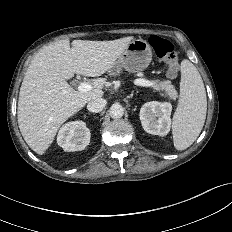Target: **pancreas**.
Masks as SVG:
<instances>
[{
  "instance_id": "pancreas-1",
  "label": "pancreas",
  "mask_w": 232,
  "mask_h": 232,
  "mask_svg": "<svg viewBox=\"0 0 232 232\" xmlns=\"http://www.w3.org/2000/svg\"><path fill=\"white\" fill-rule=\"evenodd\" d=\"M153 82L156 83V85L154 86L155 89L164 90L170 99L176 100V98L178 97V93L170 81L165 80V81L159 82L158 80H156Z\"/></svg>"
}]
</instances>
